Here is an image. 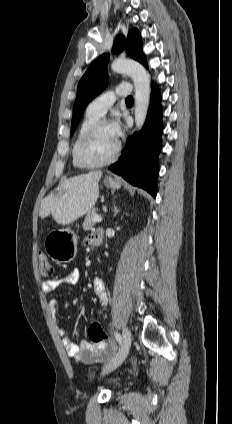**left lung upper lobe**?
Instances as JSON below:
<instances>
[{"label": "left lung upper lobe", "mask_w": 232, "mask_h": 424, "mask_svg": "<svg viewBox=\"0 0 232 424\" xmlns=\"http://www.w3.org/2000/svg\"><path fill=\"white\" fill-rule=\"evenodd\" d=\"M125 47L133 59L147 66L142 50V39L138 29L134 28L129 32L127 41H125V38L122 35H119L116 38L113 47L114 52H120ZM108 61V54L101 55L90 64L89 68L81 78L78 84L77 96L73 107L71 134L74 133L87 104L105 88L108 79L106 72Z\"/></svg>", "instance_id": "1"}]
</instances>
